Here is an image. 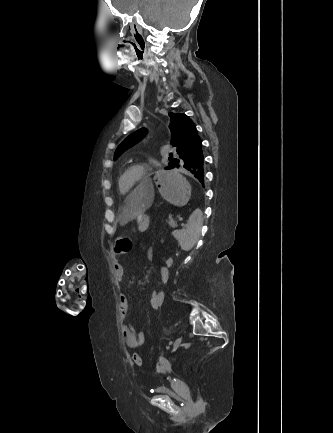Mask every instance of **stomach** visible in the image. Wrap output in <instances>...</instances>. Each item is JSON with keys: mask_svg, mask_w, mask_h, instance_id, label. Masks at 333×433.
Returning a JSON list of instances; mask_svg holds the SVG:
<instances>
[{"mask_svg": "<svg viewBox=\"0 0 333 433\" xmlns=\"http://www.w3.org/2000/svg\"><path fill=\"white\" fill-rule=\"evenodd\" d=\"M151 182L158 183L162 198L175 205L177 210H182L184 203L192 197L190 185L179 169H158L156 174L151 175ZM137 222L141 228H146L148 215H138Z\"/></svg>", "mask_w": 333, "mask_h": 433, "instance_id": "0dacf381", "label": "stomach"}]
</instances>
